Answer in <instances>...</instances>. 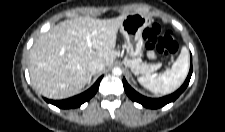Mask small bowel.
Listing matches in <instances>:
<instances>
[{"instance_id":"obj_1","label":"small bowel","mask_w":225,"mask_h":132,"mask_svg":"<svg viewBox=\"0 0 225 132\" xmlns=\"http://www.w3.org/2000/svg\"><path fill=\"white\" fill-rule=\"evenodd\" d=\"M147 56L149 59H155L156 55L155 53L152 51V49H148L147 50Z\"/></svg>"}]
</instances>
